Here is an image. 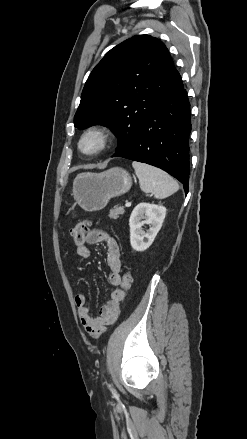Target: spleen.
<instances>
[{"label":"spleen","instance_id":"1","mask_svg":"<svg viewBox=\"0 0 247 439\" xmlns=\"http://www.w3.org/2000/svg\"><path fill=\"white\" fill-rule=\"evenodd\" d=\"M139 179L140 188L152 193L157 199H164L178 191V183L165 171L141 162H132Z\"/></svg>","mask_w":247,"mask_h":439}]
</instances>
